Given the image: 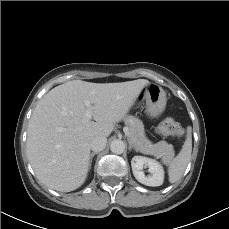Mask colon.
<instances>
[{"label":"colon","instance_id":"obj_1","mask_svg":"<svg viewBox=\"0 0 229 229\" xmlns=\"http://www.w3.org/2000/svg\"><path fill=\"white\" fill-rule=\"evenodd\" d=\"M158 132L163 136H173L182 139L184 136L183 128L172 118H165L158 124Z\"/></svg>","mask_w":229,"mask_h":229}]
</instances>
